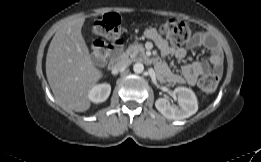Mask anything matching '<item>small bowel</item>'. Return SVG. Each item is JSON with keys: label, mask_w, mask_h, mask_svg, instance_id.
Wrapping results in <instances>:
<instances>
[{"label": "small bowel", "mask_w": 261, "mask_h": 162, "mask_svg": "<svg viewBox=\"0 0 261 162\" xmlns=\"http://www.w3.org/2000/svg\"><path fill=\"white\" fill-rule=\"evenodd\" d=\"M147 37L152 40L161 50L164 56L174 55L177 59H183L186 56V49L183 47L174 48L155 30L147 31ZM189 46L191 48L206 46L210 49V55L207 61H194L182 66V74L172 72L161 60L156 61L158 71L164 75L170 82L187 83L195 85L200 75L220 76L222 73V52L214 39L205 33H197L191 39Z\"/></svg>", "instance_id": "c3829d8e"}]
</instances>
